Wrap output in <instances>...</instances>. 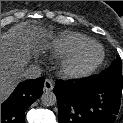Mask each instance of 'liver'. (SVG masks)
Instances as JSON below:
<instances>
[{
	"instance_id": "liver-1",
	"label": "liver",
	"mask_w": 123,
	"mask_h": 123,
	"mask_svg": "<svg viewBox=\"0 0 123 123\" xmlns=\"http://www.w3.org/2000/svg\"><path fill=\"white\" fill-rule=\"evenodd\" d=\"M52 33L42 26L21 22L1 34V103L22 80L32 56L48 47Z\"/></svg>"
}]
</instances>
